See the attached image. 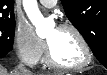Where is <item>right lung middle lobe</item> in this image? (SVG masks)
I'll list each match as a JSON object with an SVG mask.
<instances>
[{
    "instance_id": "dd1d6c3e",
    "label": "right lung middle lobe",
    "mask_w": 107,
    "mask_h": 75,
    "mask_svg": "<svg viewBox=\"0 0 107 75\" xmlns=\"http://www.w3.org/2000/svg\"><path fill=\"white\" fill-rule=\"evenodd\" d=\"M15 18L0 19V51L10 52L13 48Z\"/></svg>"
}]
</instances>
